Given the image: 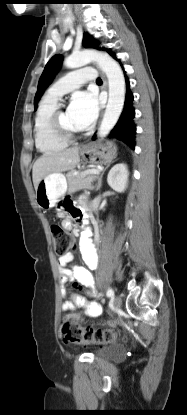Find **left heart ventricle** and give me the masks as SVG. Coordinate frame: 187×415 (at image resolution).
<instances>
[{
	"instance_id": "1",
	"label": "left heart ventricle",
	"mask_w": 187,
	"mask_h": 415,
	"mask_svg": "<svg viewBox=\"0 0 187 415\" xmlns=\"http://www.w3.org/2000/svg\"><path fill=\"white\" fill-rule=\"evenodd\" d=\"M62 125L69 131L79 132L81 129L75 125L67 111H64L61 115Z\"/></svg>"
}]
</instances>
